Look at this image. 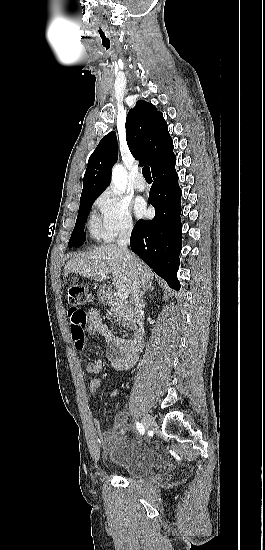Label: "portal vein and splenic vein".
Wrapping results in <instances>:
<instances>
[{
  "instance_id": "1",
  "label": "portal vein and splenic vein",
  "mask_w": 265,
  "mask_h": 550,
  "mask_svg": "<svg viewBox=\"0 0 265 550\" xmlns=\"http://www.w3.org/2000/svg\"><path fill=\"white\" fill-rule=\"evenodd\" d=\"M97 274L100 275L104 279H106V278L109 279V277L107 275L103 274V273H97ZM117 295L122 300H126L128 298V293L124 290H118Z\"/></svg>"
}]
</instances>
